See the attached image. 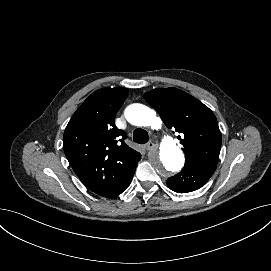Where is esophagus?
<instances>
[{
	"instance_id": "34e87169",
	"label": "esophagus",
	"mask_w": 271,
	"mask_h": 271,
	"mask_svg": "<svg viewBox=\"0 0 271 271\" xmlns=\"http://www.w3.org/2000/svg\"><path fill=\"white\" fill-rule=\"evenodd\" d=\"M155 144L153 143V142H148V143H146L145 145H144V148L146 149V150H152V149H154L155 148Z\"/></svg>"
}]
</instances>
